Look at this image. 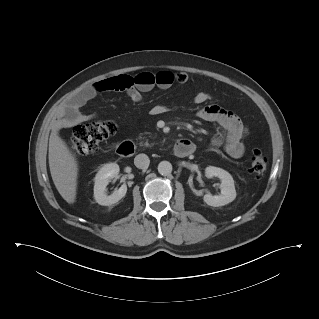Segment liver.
Returning <instances> with one entry per match:
<instances>
[{"label": "liver", "instance_id": "liver-1", "mask_svg": "<svg viewBox=\"0 0 319 319\" xmlns=\"http://www.w3.org/2000/svg\"><path fill=\"white\" fill-rule=\"evenodd\" d=\"M48 157L56 189L66 202L74 203L77 194L78 163L56 131H52L50 135Z\"/></svg>", "mask_w": 319, "mask_h": 319}]
</instances>
